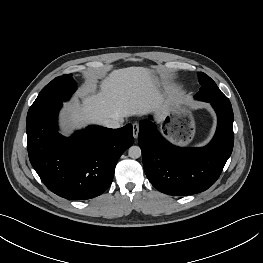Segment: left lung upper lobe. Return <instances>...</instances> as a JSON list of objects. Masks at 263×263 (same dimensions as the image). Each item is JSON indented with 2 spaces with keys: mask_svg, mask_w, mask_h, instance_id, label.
Instances as JSON below:
<instances>
[{
  "mask_svg": "<svg viewBox=\"0 0 263 263\" xmlns=\"http://www.w3.org/2000/svg\"><path fill=\"white\" fill-rule=\"evenodd\" d=\"M197 75L201 88L195 95V99L224 104L230 103L229 99L220 91L215 82L208 75L203 72H198Z\"/></svg>",
  "mask_w": 263,
  "mask_h": 263,
  "instance_id": "left-lung-upper-lobe-1",
  "label": "left lung upper lobe"
}]
</instances>
